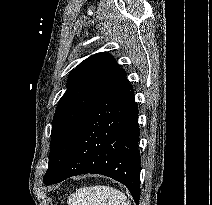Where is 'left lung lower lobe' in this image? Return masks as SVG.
<instances>
[{"instance_id":"1","label":"left lung lower lobe","mask_w":212,"mask_h":205,"mask_svg":"<svg viewBox=\"0 0 212 205\" xmlns=\"http://www.w3.org/2000/svg\"><path fill=\"white\" fill-rule=\"evenodd\" d=\"M138 140V109L133 88L120 68L85 117L52 184L79 174H102L124 184L138 205L141 164Z\"/></svg>"}]
</instances>
